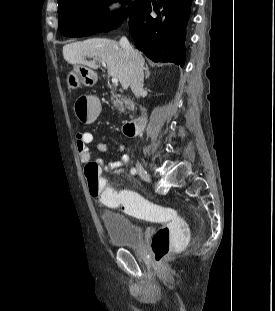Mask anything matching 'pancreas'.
<instances>
[{"label":"pancreas","mask_w":275,"mask_h":311,"mask_svg":"<svg viewBox=\"0 0 275 311\" xmlns=\"http://www.w3.org/2000/svg\"><path fill=\"white\" fill-rule=\"evenodd\" d=\"M113 104L114 106L120 111L124 112L125 107H129V100L126 98H121L120 95H114L112 96Z\"/></svg>","instance_id":"1"}]
</instances>
